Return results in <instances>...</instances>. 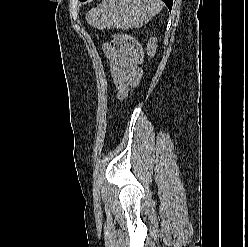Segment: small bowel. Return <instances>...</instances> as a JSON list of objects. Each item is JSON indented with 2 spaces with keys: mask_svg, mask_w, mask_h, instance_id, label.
<instances>
[{
  "mask_svg": "<svg viewBox=\"0 0 248 247\" xmlns=\"http://www.w3.org/2000/svg\"><path fill=\"white\" fill-rule=\"evenodd\" d=\"M103 51L109 61L117 96L123 99L131 88L139 84L142 76L134 51L129 45L118 40L104 44Z\"/></svg>",
  "mask_w": 248,
  "mask_h": 247,
  "instance_id": "1",
  "label": "small bowel"
}]
</instances>
